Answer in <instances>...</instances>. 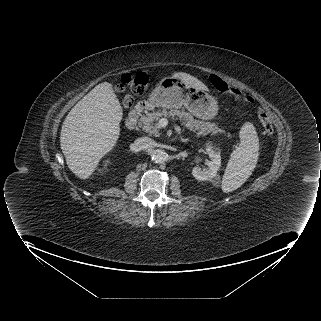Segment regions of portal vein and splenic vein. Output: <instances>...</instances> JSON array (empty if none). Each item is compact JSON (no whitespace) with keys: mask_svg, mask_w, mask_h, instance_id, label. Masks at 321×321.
Wrapping results in <instances>:
<instances>
[{"mask_svg":"<svg viewBox=\"0 0 321 321\" xmlns=\"http://www.w3.org/2000/svg\"><path fill=\"white\" fill-rule=\"evenodd\" d=\"M160 127H166L168 125V120L166 118H161L158 122Z\"/></svg>","mask_w":321,"mask_h":321,"instance_id":"obj_1","label":"portal vein and splenic vein"}]
</instances>
